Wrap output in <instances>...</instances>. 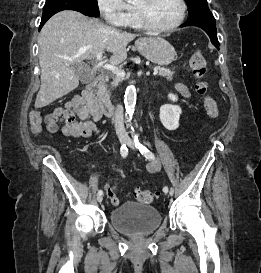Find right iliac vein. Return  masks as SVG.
Listing matches in <instances>:
<instances>
[{
  "label": "right iliac vein",
  "mask_w": 261,
  "mask_h": 273,
  "mask_svg": "<svg viewBox=\"0 0 261 273\" xmlns=\"http://www.w3.org/2000/svg\"><path fill=\"white\" fill-rule=\"evenodd\" d=\"M119 141H120L121 144H124V143L126 142V139L122 136V137L119 138ZM102 200H103V196H102V195H98L97 201H98L99 203H101Z\"/></svg>",
  "instance_id": "63e3f726"
}]
</instances>
